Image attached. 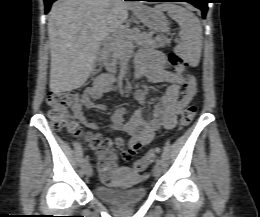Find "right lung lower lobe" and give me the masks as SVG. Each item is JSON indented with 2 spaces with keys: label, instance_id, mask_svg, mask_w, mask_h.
<instances>
[{
  "label": "right lung lower lobe",
  "instance_id": "98d812e1",
  "mask_svg": "<svg viewBox=\"0 0 260 217\" xmlns=\"http://www.w3.org/2000/svg\"><path fill=\"white\" fill-rule=\"evenodd\" d=\"M55 1L56 0H44V2H45V13L46 14L49 12L51 4ZM125 1H131V0H125Z\"/></svg>",
  "mask_w": 260,
  "mask_h": 217
}]
</instances>
